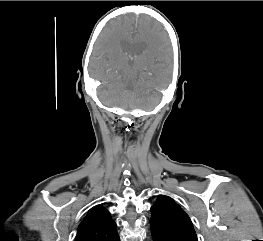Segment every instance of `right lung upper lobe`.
Instances as JSON below:
<instances>
[{
  "instance_id": "right-lung-upper-lobe-1",
  "label": "right lung upper lobe",
  "mask_w": 263,
  "mask_h": 241,
  "mask_svg": "<svg viewBox=\"0 0 263 241\" xmlns=\"http://www.w3.org/2000/svg\"><path fill=\"white\" fill-rule=\"evenodd\" d=\"M116 228L110 213L97 205L88 211L78 226L75 241H115L118 237Z\"/></svg>"
}]
</instances>
